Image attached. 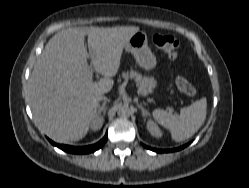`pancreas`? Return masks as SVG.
Returning <instances> with one entry per match:
<instances>
[{
	"mask_svg": "<svg viewBox=\"0 0 249 188\" xmlns=\"http://www.w3.org/2000/svg\"><path fill=\"white\" fill-rule=\"evenodd\" d=\"M122 78L125 81L133 79L138 87V93L143 96H146L148 93L152 91L150 88L147 87L145 78H143L140 73L134 71L133 69L127 72H123Z\"/></svg>",
	"mask_w": 249,
	"mask_h": 188,
	"instance_id": "1",
	"label": "pancreas"
}]
</instances>
